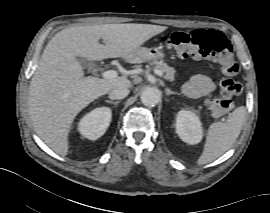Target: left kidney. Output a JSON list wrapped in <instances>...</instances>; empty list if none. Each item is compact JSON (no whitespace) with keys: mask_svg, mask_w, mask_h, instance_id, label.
<instances>
[{"mask_svg":"<svg viewBox=\"0 0 270 213\" xmlns=\"http://www.w3.org/2000/svg\"><path fill=\"white\" fill-rule=\"evenodd\" d=\"M176 133L188 144L199 143L203 137L202 123L192 111L180 110L176 117Z\"/></svg>","mask_w":270,"mask_h":213,"instance_id":"1","label":"left kidney"}]
</instances>
